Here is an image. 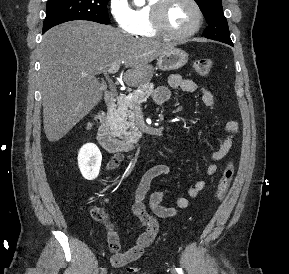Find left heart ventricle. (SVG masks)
Wrapping results in <instances>:
<instances>
[{
	"instance_id": "b2bd125f",
	"label": "left heart ventricle",
	"mask_w": 289,
	"mask_h": 274,
	"mask_svg": "<svg viewBox=\"0 0 289 274\" xmlns=\"http://www.w3.org/2000/svg\"><path fill=\"white\" fill-rule=\"evenodd\" d=\"M165 21L171 31L186 32L196 24L197 14L188 0H173L168 5Z\"/></svg>"
}]
</instances>
